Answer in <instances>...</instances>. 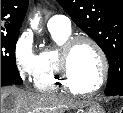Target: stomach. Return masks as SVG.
<instances>
[{
    "mask_svg": "<svg viewBox=\"0 0 123 113\" xmlns=\"http://www.w3.org/2000/svg\"><path fill=\"white\" fill-rule=\"evenodd\" d=\"M83 113H105L104 109L97 103L90 104Z\"/></svg>",
    "mask_w": 123,
    "mask_h": 113,
    "instance_id": "0dacf381",
    "label": "stomach"
}]
</instances>
